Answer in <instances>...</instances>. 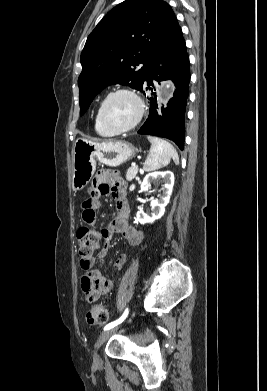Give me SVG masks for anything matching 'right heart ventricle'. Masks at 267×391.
Wrapping results in <instances>:
<instances>
[{
    "label": "right heart ventricle",
    "mask_w": 267,
    "mask_h": 391,
    "mask_svg": "<svg viewBox=\"0 0 267 391\" xmlns=\"http://www.w3.org/2000/svg\"><path fill=\"white\" fill-rule=\"evenodd\" d=\"M94 128H95V131L97 132V134H99L100 136L111 137V136L115 135V133L108 131L106 128H104L102 126V124L99 120V117H98V110L96 111L95 116H94Z\"/></svg>",
    "instance_id": "1"
}]
</instances>
